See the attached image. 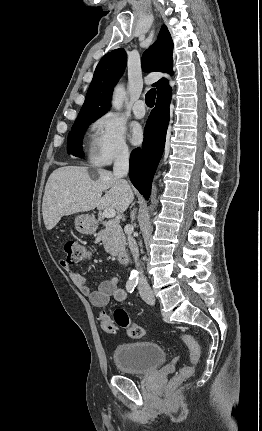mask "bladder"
Wrapping results in <instances>:
<instances>
[{"label":"bladder","instance_id":"31cf9c89","mask_svg":"<svg viewBox=\"0 0 262 431\" xmlns=\"http://www.w3.org/2000/svg\"><path fill=\"white\" fill-rule=\"evenodd\" d=\"M166 355L159 343L135 341L116 347L115 363L119 371L142 375L157 370L165 362Z\"/></svg>","mask_w":262,"mask_h":431}]
</instances>
